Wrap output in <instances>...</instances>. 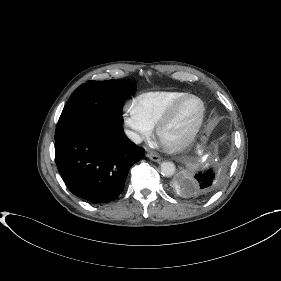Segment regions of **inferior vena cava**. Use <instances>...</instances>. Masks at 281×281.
Returning a JSON list of instances; mask_svg holds the SVG:
<instances>
[{"instance_id":"1","label":"inferior vena cava","mask_w":281,"mask_h":281,"mask_svg":"<svg viewBox=\"0 0 281 281\" xmlns=\"http://www.w3.org/2000/svg\"><path fill=\"white\" fill-rule=\"evenodd\" d=\"M125 134L135 144H140L142 142V138L137 133H135L131 130L126 129Z\"/></svg>"}]
</instances>
